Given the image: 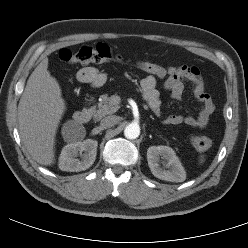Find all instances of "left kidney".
<instances>
[{
    "mask_svg": "<svg viewBox=\"0 0 248 248\" xmlns=\"http://www.w3.org/2000/svg\"><path fill=\"white\" fill-rule=\"evenodd\" d=\"M147 161L152 174L161 180L183 182L186 179L184 167L174 150L168 146L149 147ZM160 163L163 167L160 166Z\"/></svg>",
    "mask_w": 248,
    "mask_h": 248,
    "instance_id": "obj_1",
    "label": "left kidney"
}]
</instances>
